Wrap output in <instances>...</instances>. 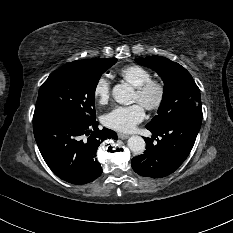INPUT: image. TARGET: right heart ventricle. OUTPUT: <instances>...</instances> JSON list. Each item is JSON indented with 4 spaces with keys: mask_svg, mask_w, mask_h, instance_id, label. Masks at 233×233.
<instances>
[{
    "mask_svg": "<svg viewBox=\"0 0 233 233\" xmlns=\"http://www.w3.org/2000/svg\"><path fill=\"white\" fill-rule=\"evenodd\" d=\"M120 76L130 85L137 88L152 78L151 72L139 65H129L119 71Z\"/></svg>",
    "mask_w": 233,
    "mask_h": 233,
    "instance_id": "obj_1",
    "label": "right heart ventricle"
}]
</instances>
